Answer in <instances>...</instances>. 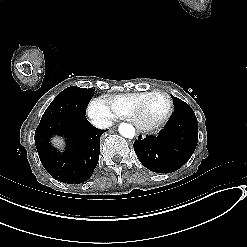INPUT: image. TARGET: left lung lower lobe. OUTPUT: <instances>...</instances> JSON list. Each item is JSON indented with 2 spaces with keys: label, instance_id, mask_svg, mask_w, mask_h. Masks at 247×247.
<instances>
[{
  "label": "left lung lower lobe",
  "instance_id": "obj_1",
  "mask_svg": "<svg viewBox=\"0 0 247 247\" xmlns=\"http://www.w3.org/2000/svg\"><path fill=\"white\" fill-rule=\"evenodd\" d=\"M138 137L134 143L140 162L157 173H171L192 156L198 142V122L193 110L175 112L157 136Z\"/></svg>",
  "mask_w": 247,
  "mask_h": 247
}]
</instances>
